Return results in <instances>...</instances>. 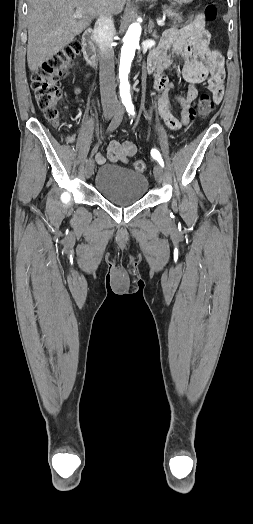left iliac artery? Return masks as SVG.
Segmentation results:
<instances>
[{"mask_svg": "<svg viewBox=\"0 0 253 524\" xmlns=\"http://www.w3.org/2000/svg\"><path fill=\"white\" fill-rule=\"evenodd\" d=\"M125 107H126V110L129 114L131 115H135V110H134V105L132 104V102L128 101L125 103ZM151 155L154 159H156L158 161V163L164 167V161L163 159L161 158V155L160 153L158 152V150L156 149H152L151 150Z\"/></svg>", "mask_w": 253, "mask_h": 524, "instance_id": "1", "label": "left iliac artery"}]
</instances>
